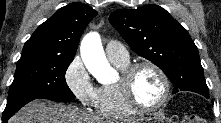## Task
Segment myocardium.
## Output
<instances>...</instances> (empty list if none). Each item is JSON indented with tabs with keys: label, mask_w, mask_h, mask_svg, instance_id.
<instances>
[{
	"label": "myocardium",
	"mask_w": 221,
	"mask_h": 123,
	"mask_svg": "<svg viewBox=\"0 0 221 123\" xmlns=\"http://www.w3.org/2000/svg\"><path fill=\"white\" fill-rule=\"evenodd\" d=\"M143 68H151L154 70L160 76L163 83L164 90L162 98L154 106H144L140 104L133 92V79L136 73ZM117 84L127 105L136 112L152 113L160 110L168 102L171 92L170 81L165 71L160 66L150 61H143L129 65L126 69L121 71Z\"/></svg>",
	"instance_id": "1"
}]
</instances>
